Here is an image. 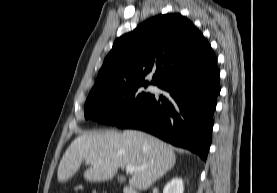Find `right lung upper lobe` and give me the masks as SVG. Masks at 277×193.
Here are the masks:
<instances>
[{"instance_id": "obj_1", "label": "right lung upper lobe", "mask_w": 277, "mask_h": 193, "mask_svg": "<svg viewBox=\"0 0 277 193\" xmlns=\"http://www.w3.org/2000/svg\"><path fill=\"white\" fill-rule=\"evenodd\" d=\"M211 46L181 14H160L114 42L90 93L147 85L151 72L159 85L173 73L203 59Z\"/></svg>"}]
</instances>
